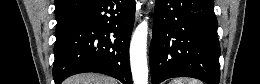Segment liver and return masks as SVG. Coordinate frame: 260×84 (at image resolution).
Returning a JSON list of instances; mask_svg holds the SVG:
<instances>
[{"mask_svg":"<svg viewBox=\"0 0 260 84\" xmlns=\"http://www.w3.org/2000/svg\"><path fill=\"white\" fill-rule=\"evenodd\" d=\"M66 84H117V81L105 75L83 73L67 79Z\"/></svg>","mask_w":260,"mask_h":84,"instance_id":"obj_1","label":"liver"}]
</instances>
